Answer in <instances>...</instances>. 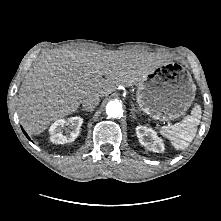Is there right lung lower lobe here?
Instances as JSON below:
<instances>
[{
	"label": "right lung lower lobe",
	"mask_w": 221,
	"mask_h": 221,
	"mask_svg": "<svg viewBox=\"0 0 221 221\" xmlns=\"http://www.w3.org/2000/svg\"><path fill=\"white\" fill-rule=\"evenodd\" d=\"M22 130H23V129H22ZM23 132H24V134L26 135V137H27L28 139H30L24 130H23Z\"/></svg>",
	"instance_id": "98d812e1"
}]
</instances>
